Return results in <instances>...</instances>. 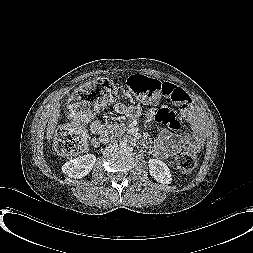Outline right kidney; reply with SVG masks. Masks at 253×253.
Listing matches in <instances>:
<instances>
[{"label": "right kidney", "mask_w": 253, "mask_h": 253, "mask_svg": "<svg viewBox=\"0 0 253 253\" xmlns=\"http://www.w3.org/2000/svg\"><path fill=\"white\" fill-rule=\"evenodd\" d=\"M96 162L94 154H86L67 161L62 166V172L70 178L80 179L92 170Z\"/></svg>", "instance_id": "ca27d5eb"}]
</instances>
